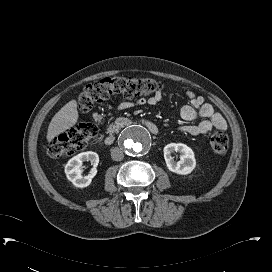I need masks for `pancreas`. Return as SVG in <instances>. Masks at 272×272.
Instances as JSON below:
<instances>
[{"instance_id":"cf45deb5","label":"pancreas","mask_w":272,"mask_h":272,"mask_svg":"<svg viewBox=\"0 0 272 272\" xmlns=\"http://www.w3.org/2000/svg\"><path fill=\"white\" fill-rule=\"evenodd\" d=\"M130 121L129 119L127 118H118L116 121H115V124H111L108 128V132L109 133H114V132H117L122 126L126 125V124H129Z\"/></svg>"}]
</instances>
